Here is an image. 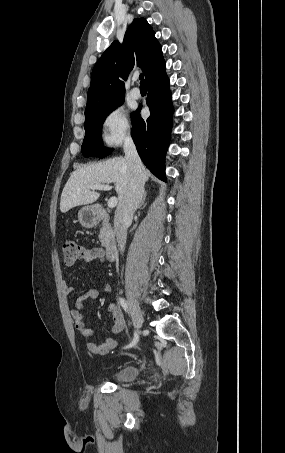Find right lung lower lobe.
<instances>
[{
    "label": "right lung lower lobe",
    "mask_w": 285,
    "mask_h": 453,
    "mask_svg": "<svg viewBox=\"0 0 285 453\" xmlns=\"http://www.w3.org/2000/svg\"><path fill=\"white\" fill-rule=\"evenodd\" d=\"M146 83L149 91L146 101L151 115L143 120L141 107L132 114V138L143 163L157 178L166 181L164 160L170 140L173 106L165 68L152 75Z\"/></svg>",
    "instance_id": "obj_1"
}]
</instances>
